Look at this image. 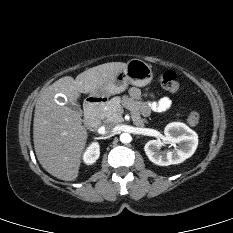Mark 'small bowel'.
<instances>
[{
	"instance_id": "small-bowel-1",
	"label": "small bowel",
	"mask_w": 233,
	"mask_h": 233,
	"mask_svg": "<svg viewBox=\"0 0 233 233\" xmlns=\"http://www.w3.org/2000/svg\"><path fill=\"white\" fill-rule=\"evenodd\" d=\"M125 99L127 106L138 116H148L151 112H164L171 106V99L162 97L158 100H145L140 89L131 87Z\"/></svg>"
}]
</instances>
